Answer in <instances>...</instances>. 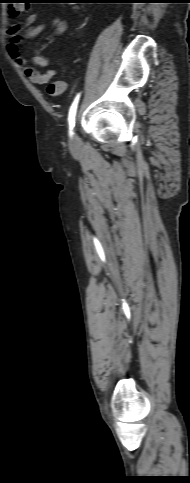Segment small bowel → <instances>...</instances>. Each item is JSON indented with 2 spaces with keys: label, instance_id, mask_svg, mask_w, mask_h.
I'll return each instance as SVG.
<instances>
[{
  "label": "small bowel",
  "instance_id": "1",
  "mask_svg": "<svg viewBox=\"0 0 190 483\" xmlns=\"http://www.w3.org/2000/svg\"><path fill=\"white\" fill-rule=\"evenodd\" d=\"M36 19V15H31L25 22L27 29L24 32V36L28 39L37 37L46 28L44 24L34 25ZM23 28L24 26L20 24H12L8 28L7 34L9 35V39L6 45L7 53L15 64L23 70L24 74L31 82L39 85L47 84L54 78L55 72L53 70H47L46 72L41 73L35 67L29 65L31 63L36 66L45 67L48 66L49 60L41 55H34L28 58L21 53L20 34L22 33ZM52 28L55 35H62L67 29V24L64 20L57 18L53 21ZM66 85L67 84L64 80H55L48 85L47 91L51 96H57L66 89Z\"/></svg>",
  "mask_w": 190,
  "mask_h": 483
}]
</instances>
